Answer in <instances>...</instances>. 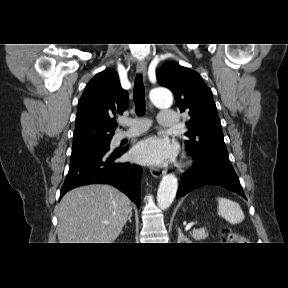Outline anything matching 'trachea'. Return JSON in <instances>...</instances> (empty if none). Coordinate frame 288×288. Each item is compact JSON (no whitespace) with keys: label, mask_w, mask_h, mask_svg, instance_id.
I'll return each instance as SVG.
<instances>
[{"label":"trachea","mask_w":288,"mask_h":288,"mask_svg":"<svg viewBox=\"0 0 288 288\" xmlns=\"http://www.w3.org/2000/svg\"><path fill=\"white\" fill-rule=\"evenodd\" d=\"M134 104L135 110L138 116L145 114L146 102H145V90L143 85L142 75H137L134 84Z\"/></svg>","instance_id":"trachea-1"}]
</instances>
